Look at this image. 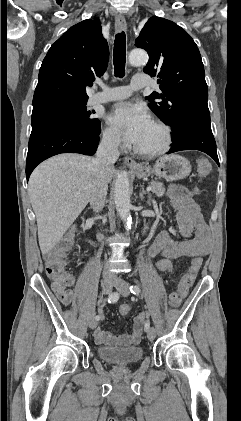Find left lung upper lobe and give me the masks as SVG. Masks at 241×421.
Returning a JSON list of instances; mask_svg holds the SVG:
<instances>
[{
    "mask_svg": "<svg viewBox=\"0 0 241 421\" xmlns=\"http://www.w3.org/2000/svg\"><path fill=\"white\" fill-rule=\"evenodd\" d=\"M135 45L145 49L149 62L144 72L157 76L161 93L147 100L153 112L172 128V138L199 114H209L208 88L200 52L192 37L172 21L151 17Z\"/></svg>",
    "mask_w": 241,
    "mask_h": 421,
    "instance_id": "obj_1",
    "label": "left lung upper lobe"
}]
</instances>
